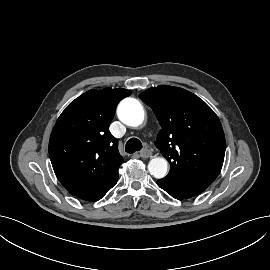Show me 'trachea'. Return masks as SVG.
I'll return each mask as SVG.
<instances>
[{
    "mask_svg": "<svg viewBox=\"0 0 270 270\" xmlns=\"http://www.w3.org/2000/svg\"><path fill=\"white\" fill-rule=\"evenodd\" d=\"M142 149V143L137 138H131L127 141L125 150L126 152L132 154L136 151H140Z\"/></svg>",
    "mask_w": 270,
    "mask_h": 270,
    "instance_id": "1",
    "label": "trachea"
}]
</instances>
